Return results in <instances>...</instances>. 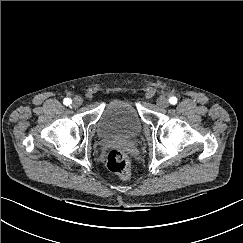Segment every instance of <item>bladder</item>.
Wrapping results in <instances>:
<instances>
[{"mask_svg":"<svg viewBox=\"0 0 243 243\" xmlns=\"http://www.w3.org/2000/svg\"><path fill=\"white\" fill-rule=\"evenodd\" d=\"M96 131L101 138L132 140L140 135L142 120L132 101L112 99L104 105Z\"/></svg>","mask_w":243,"mask_h":243,"instance_id":"bladder-1","label":"bladder"}]
</instances>
